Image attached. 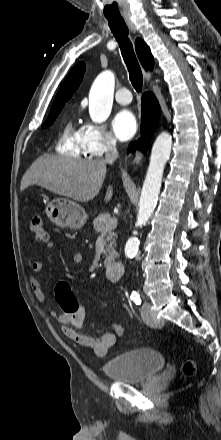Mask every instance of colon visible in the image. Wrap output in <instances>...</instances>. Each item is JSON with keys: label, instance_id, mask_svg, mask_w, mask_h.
I'll return each mask as SVG.
<instances>
[{"label": "colon", "instance_id": "5ec220e1", "mask_svg": "<svg viewBox=\"0 0 221 440\" xmlns=\"http://www.w3.org/2000/svg\"><path fill=\"white\" fill-rule=\"evenodd\" d=\"M30 230L40 242L49 240L48 233L40 216H34L30 221ZM55 295L59 301V307L62 315H73L74 312H80L82 306L77 297L73 296L70 284L67 281H60L55 287ZM104 328H112L120 339L128 338V331L124 330V324L119 320H106L103 323ZM181 371L185 376H191L195 372V364L188 359L183 362Z\"/></svg>", "mask_w": 221, "mask_h": 440}]
</instances>
